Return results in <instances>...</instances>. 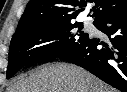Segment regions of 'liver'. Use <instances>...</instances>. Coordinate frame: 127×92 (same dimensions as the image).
Segmentation results:
<instances>
[{
	"mask_svg": "<svg viewBox=\"0 0 127 92\" xmlns=\"http://www.w3.org/2000/svg\"><path fill=\"white\" fill-rule=\"evenodd\" d=\"M7 92H115L88 71L66 63L43 65Z\"/></svg>",
	"mask_w": 127,
	"mask_h": 92,
	"instance_id": "liver-1",
	"label": "liver"
}]
</instances>
